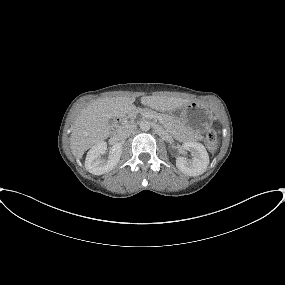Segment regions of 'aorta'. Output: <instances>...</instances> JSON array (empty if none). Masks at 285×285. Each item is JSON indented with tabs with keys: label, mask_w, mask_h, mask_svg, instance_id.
I'll list each match as a JSON object with an SVG mask.
<instances>
[{
	"label": "aorta",
	"mask_w": 285,
	"mask_h": 285,
	"mask_svg": "<svg viewBox=\"0 0 285 285\" xmlns=\"http://www.w3.org/2000/svg\"><path fill=\"white\" fill-rule=\"evenodd\" d=\"M139 126H140V129L142 131L146 132V131L150 130L151 123L149 121H147V120H143V121L140 122Z\"/></svg>",
	"instance_id": "762f6f07"
}]
</instances>
